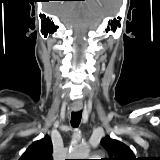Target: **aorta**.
Listing matches in <instances>:
<instances>
[{"mask_svg": "<svg viewBox=\"0 0 160 160\" xmlns=\"http://www.w3.org/2000/svg\"><path fill=\"white\" fill-rule=\"evenodd\" d=\"M89 148L86 145H74L69 152V159H88Z\"/></svg>", "mask_w": 160, "mask_h": 160, "instance_id": "1", "label": "aorta"}]
</instances>
